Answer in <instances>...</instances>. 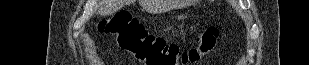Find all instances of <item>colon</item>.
I'll use <instances>...</instances> for the list:
<instances>
[{
    "mask_svg": "<svg viewBox=\"0 0 309 65\" xmlns=\"http://www.w3.org/2000/svg\"><path fill=\"white\" fill-rule=\"evenodd\" d=\"M99 30L114 38L121 50L145 65L195 64L213 51L219 36L217 28H205L198 36L197 45L184 50L147 33L144 26L128 11H119L102 20Z\"/></svg>",
    "mask_w": 309,
    "mask_h": 65,
    "instance_id": "obj_1",
    "label": "colon"
}]
</instances>
